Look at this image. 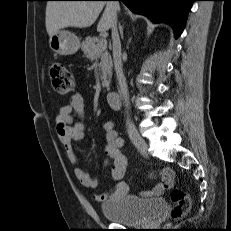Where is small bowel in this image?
I'll return each mask as SVG.
<instances>
[{"label": "small bowel", "mask_w": 231, "mask_h": 231, "mask_svg": "<svg viewBox=\"0 0 231 231\" xmlns=\"http://www.w3.org/2000/svg\"><path fill=\"white\" fill-rule=\"evenodd\" d=\"M85 101L81 94L75 93L70 97L67 104L60 107L55 118V132L63 146L65 154L71 164H77L78 157L75 153L73 143L80 141L85 133ZM105 142L104 153L106 155L105 165L111 166V178L116 184L106 193L96 194L95 200L105 202L119 200L128 194V185L121 182L124 176L127 158L122 153L121 137L118 136L114 122L108 120L104 123ZM76 178L83 186L91 189L98 187L99 181L91 176L86 170L76 167L74 170ZM174 184V173L165 168L161 170V181L151 190L144 192L147 196H160Z\"/></svg>", "instance_id": "c3829d8e"}]
</instances>
